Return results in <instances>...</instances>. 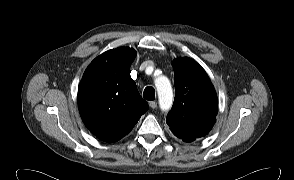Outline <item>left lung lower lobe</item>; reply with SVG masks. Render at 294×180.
I'll return each mask as SVG.
<instances>
[{"label":"left lung lower lobe","instance_id":"obj_1","mask_svg":"<svg viewBox=\"0 0 294 180\" xmlns=\"http://www.w3.org/2000/svg\"><path fill=\"white\" fill-rule=\"evenodd\" d=\"M180 139H182V140L185 141V142H192V141L195 140L194 138H189V137H182V138H180Z\"/></svg>","mask_w":294,"mask_h":180}]
</instances>
